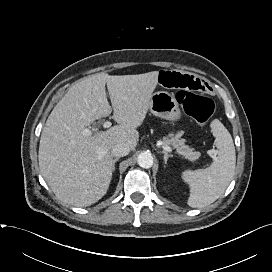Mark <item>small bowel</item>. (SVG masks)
<instances>
[{
    "instance_id": "obj_1",
    "label": "small bowel",
    "mask_w": 272,
    "mask_h": 272,
    "mask_svg": "<svg viewBox=\"0 0 272 272\" xmlns=\"http://www.w3.org/2000/svg\"><path fill=\"white\" fill-rule=\"evenodd\" d=\"M159 82L169 89H179L188 92H207L209 85L199 77L174 70L160 72Z\"/></svg>"
}]
</instances>
